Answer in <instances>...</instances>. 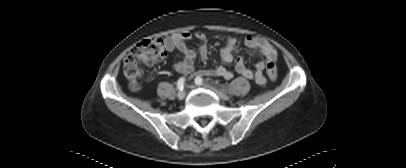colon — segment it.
<instances>
[{"label": "colon", "mask_w": 406, "mask_h": 168, "mask_svg": "<svg viewBox=\"0 0 406 168\" xmlns=\"http://www.w3.org/2000/svg\"><path fill=\"white\" fill-rule=\"evenodd\" d=\"M165 56V44L161 37L153 36L135 45L123 60V73L130 88L138 87L143 65L156 66ZM266 71L271 80L277 79V68L273 62L267 63Z\"/></svg>", "instance_id": "5ec220e1"}]
</instances>
